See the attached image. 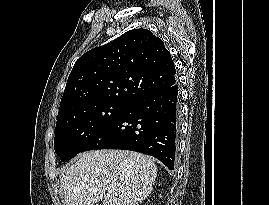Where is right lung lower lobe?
<instances>
[{"instance_id": "1", "label": "right lung lower lobe", "mask_w": 269, "mask_h": 205, "mask_svg": "<svg viewBox=\"0 0 269 205\" xmlns=\"http://www.w3.org/2000/svg\"><path fill=\"white\" fill-rule=\"evenodd\" d=\"M178 85L130 103L82 150L122 149L141 152L174 170L179 130Z\"/></svg>"}]
</instances>
